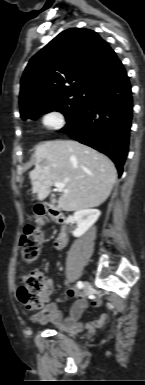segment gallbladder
I'll list each match as a JSON object with an SVG mask.
<instances>
[{
    "label": "gallbladder",
    "instance_id": "bac80fb5",
    "mask_svg": "<svg viewBox=\"0 0 145 385\" xmlns=\"http://www.w3.org/2000/svg\"><path fill=\"white\" fill-rule=\"evenodd\" d=\"M52 203L54 204V203H56V201L53 200Z\"/></svg>",
    "mask_w": 145,
    "mask_h": 385
}]
</instances>
